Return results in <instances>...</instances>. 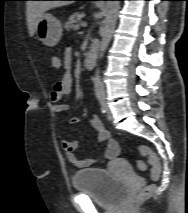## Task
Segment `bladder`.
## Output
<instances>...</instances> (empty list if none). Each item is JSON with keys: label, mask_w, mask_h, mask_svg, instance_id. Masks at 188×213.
I'll return each mask as SVG.
<instances>
[{"label": "bladder", "mask_w": 188, "mask_h": 213, "mask_svg": "<svg viewBox=\"0 0 188 213\" xmlns=\"http://www.w3.org/2000/svg\"><path fill=\"white\" fill-rule=\"evenodd\" d=\"M75 190L88 195L95 203L111 207L114 206L128 190L123 180H118L103 168H89L76 171L72 176Z\"/></svg>", "instance_id": "31cf9c89"}]
</instances>
